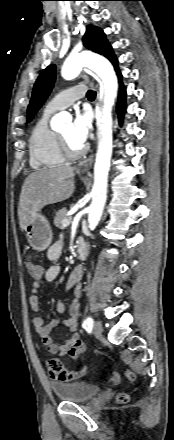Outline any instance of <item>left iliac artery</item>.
Instances as JSON below:
<instances>
[{
    "instance_id": "1",
    "label": "left iliac artery",
    "mask_w": 174,
    "mask_h": 440,
    "mask_svg": "<svg viewBox=\"0 0 174 440\" xmlns=\"http://www.w3.org/2000/svg\"><path fill=\"white\" fill-rule=\"evenodd\" d=\"M92 325L93 319L91 317H87L82 324L83 328L92 327Z\"/></svg>"
}]
</instances>
